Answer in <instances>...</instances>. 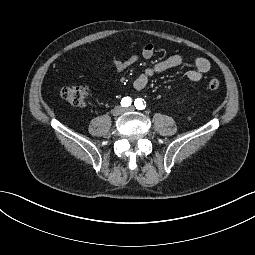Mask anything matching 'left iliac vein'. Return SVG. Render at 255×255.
<instances>
[{
    "label": "left iliac vein",
    "instance_id": "1",
    "mask_svg": "<svg viewBox=\"0 0 255 255\" xmlns=\"http://www.w3.org/2000/svg\"><path fill=\"white\" fill-rule=\"evenodd\" d=\"M126 110L127 111H132V110H134V107L131 106V107L127 108Z\"/></svg>",
    "mask_w": 255,
    "mask_h": 255
}]
</instances>
